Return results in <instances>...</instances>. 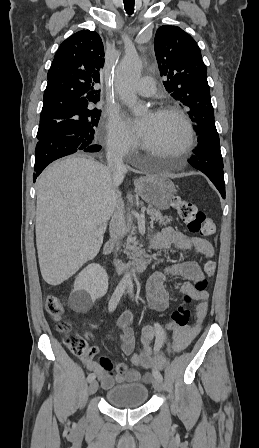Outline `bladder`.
<instances>
[{
	"label": "bladder",
	"instance_id": "31cf9c89",
	"mask_svg": "<svg viewBox=\"0 0 259 448\" xmlns=\"http://www.w3.org/2000/svg\"><path fill=\"white\" fill-rule=\"evenodd\" d=\"M109 404L119 408H136L146 403L149 391L144 384H120L111 387L106 392Z\"/></svg>",
	"mask_w": 259,
	"mask_h": 448
}]
</instances>
